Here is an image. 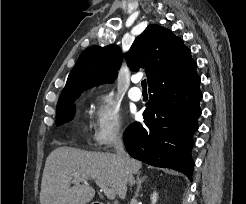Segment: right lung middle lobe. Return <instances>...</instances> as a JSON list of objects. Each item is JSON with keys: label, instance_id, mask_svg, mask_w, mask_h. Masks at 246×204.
Masks as SVG:
<instances>
[{"label": "right lung middle lobe", "instance_id": "obj_1", "mask_svg": "<svg viewBox=\"0 0 246 204\" xmlns=\"http://www.w3.org/2000/svg\"><path fill=\"white\" fill-rule=\"evenodd\" d=\"M79 96H71L60 99L56 108V125H62L71 121L74 117L75 108L73 101Z\"/></svg>", "mask_w": 246, "mask_h": 204}]
</instances>
